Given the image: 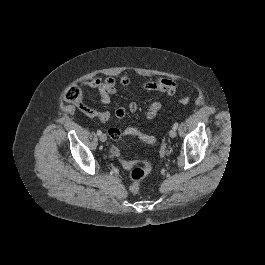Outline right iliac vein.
I'll return each mask as SVG.
<instances>
[{"label":"right iliac vein","mask_w":265,"mask_h":265,"mask_svg":"<svg viewBox=\"0 0 265 265\" xmlns=\"http://www.w3.org/2000/svg\"><path fill=\"white\" fill-rule=\"evenodd\" d=\"M106 140H107L106 135H105V134H101V135H100V141H101V142H105Z\"/></svg>","instance_id":"1"}]
</instances>
